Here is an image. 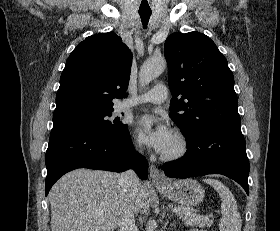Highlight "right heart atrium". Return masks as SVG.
Returning a JSON list of instances; mask_svg holds the SVG:
<instances>
[{
    "instance_id": "right-heart-atrium-1",
    "label": "right heart atrium",
    "mask_w": 280,
    "mask_h": 231,
    "mask_svg": "<svg viewBox=\"0 0 280 231\" xmlns=\"http://www.w3.org/2000/svg\"><path fill=\"white\" fill-rule=\"evenodd\" d=\"M133 148L137 151L141 150L143 148V143L141 140L137 139L133 143Z\"/></svg>"
}]
</instances>
